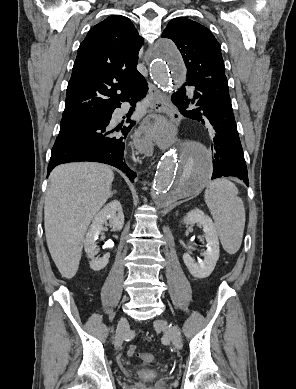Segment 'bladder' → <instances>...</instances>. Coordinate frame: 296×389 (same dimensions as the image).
Here are the masks:
<instances>
[{
	"mask_svg": "<svg viewBox=\"0 0 296 389\" xmlns=\"http://www.w3.org/2000/svg\"><path fill=\"white\" fill-rule=\"evenodd\" d=\"M137 375L144 380H152L158 377L159 373L155 370H139Z\"/></svg>",
	"mask_w": 296,
	"mask_h": 389,
	"instance_id": "1",
	"label": "bladder"
}]
</instances>
